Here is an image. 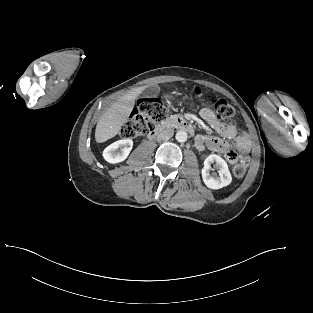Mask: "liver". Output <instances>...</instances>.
Listing matches in <instances>:
<instances>
[{"instance_id":"liver-1","label":"liver","mask_w":313,"mask_h":313,"mask_svg":"<svg viewBox=\"0 0 313 313\" xmlns=\"http://www.w3.org/2000/svg\"><path fill=\"white\" fill-rule=\"evenodd\" d=\"M145 88V86L138 87L125 94L102 114L96 125V142H105L118 134L123 124L129 118L135 99Z\"/></svg>"}]
</instances>
